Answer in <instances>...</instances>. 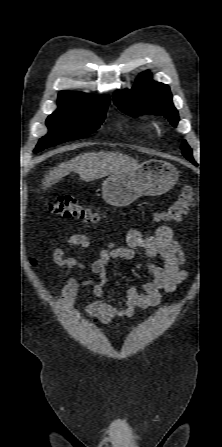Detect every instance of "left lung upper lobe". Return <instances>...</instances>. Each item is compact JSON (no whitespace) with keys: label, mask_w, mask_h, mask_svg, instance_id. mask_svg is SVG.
<instances>
[{"label":"left lung upper lobe","mask_w":222,"mask_h":447,"mask_svg":"<svg viewBox=\"0 0 222 447\" xmlns=\"http://www.w3.org/2000/svg\"><path fill=\"white\" fill-rule=\"evenodd\" d=\"M151 73L146 71L137 78L132 89L118 91L114 95V103L128 115L138 114L163 115L176 127L179 121L178 111L173 105L169 86L151 80ZM182 154L193 161L192 150L185 140L182 142Z\"/></svg>","instance_id":"left-lung-upper-lobe-1"}]
</instances>
